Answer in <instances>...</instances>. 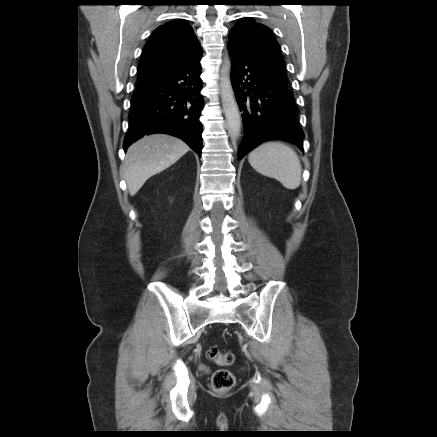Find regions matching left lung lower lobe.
<instances>
[{"instance_id":"1","label":"left lung lower lobe","mask_w":437,"mask_h":437,"mask_svg":"<svg viewBox=\"0 0 437 437\" xmlns=\"http://www.w3.org/2000/svg\"><path fill=\"white\" fill-rule=\"evenodd\" d=\"M228 49L232 55V86L242 111L244 128L238 158L242 159L260 143L272 139L287 140L303 149L304 133L298 124L294 97L287 85Z\"/></svg>"}]
</instances>
